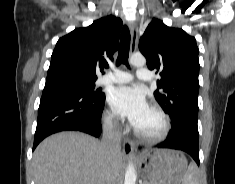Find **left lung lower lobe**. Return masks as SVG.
Instances as JSON below:
<instances>
[{
    "label": "left lung lower lobe",
    "mask_w": 235,
    "mask_h": 184,
    "mask_svg": "<svg viewBox=\"0 0 235 184\" xmlns=\"http://www.w3.org/2000/svg\"><path fill=\"white\" fill-rule=\"evenodd\" d=\"M157 147L182 150L191 155L199 165L197 123L187 118L178 119L172 124L168 139Z\"/></svg>",
    "instance_id": "obj_1"
}]
</instances>
